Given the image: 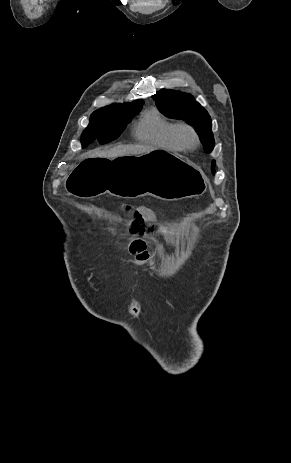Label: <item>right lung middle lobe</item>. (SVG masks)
Masks as SVG:
<instances>
[{"label":"right lung middle lobe","instance_id":"right-lung-middle-lobe-1","mask_svg":"<svg viewBox=\"0 0 291 463\" xmlns=\"http://www.w3.org/2000/svg\"><path fill=\"white\" fill-rule=\"evenodd\" d=\"M142 104L126 109H99L93 112L81 136L82 147L85 148L95 140L105 144L116 139L139 112Z\"/></svg>","mask_w":291,"mask_h":463}]
</instances>
